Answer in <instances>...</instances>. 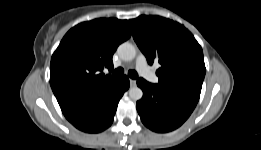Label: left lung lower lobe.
Listing matches in <instances>:
<instances>
[{"label": "left lung lower lobe", "mask_w": 261, "mask_h": 150, "mask_svg": "<svg viewBox=\"0 0 261 150\" xmlns=\"http://www.w3.org/2000/svg\"><path fill=\"white\" fill-rule=\"evenodd\" d=\"M143 97L136 104L143 124L155 132L178 128L194 110L200 93L182 86H161L140 78Z\"/></svg>", "instance_id": "left-lung-lower-lobe-1"}]
</instances>
